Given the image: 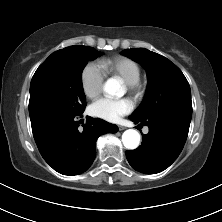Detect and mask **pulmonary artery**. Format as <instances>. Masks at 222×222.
<instances>
[{
    "mask_svg": "<svg viewBox=\"0 0 222 222\" xmlns=\"http://www.w3.org/2000/svg\"><path fill=\"white\" fill-rule=\"evenodd\" d=\"M144 132L147 133V132H148V129H145Z\"/></svg>",
    "mask_w": 222,
    "mask_h": 222,
    "instance_id": "pulmonary-artery-1",
    "label": "pulmonary artery"
}]
</instances>
